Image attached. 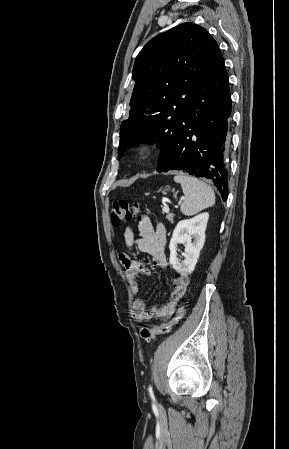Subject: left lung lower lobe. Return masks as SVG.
I'll return each mask as SVG.
<instances>
[{
  "label": "left lung lower lobe",
  "mask_w": 289,
  "mask_h": 449,
  "mask_svg": "<svg viewBox=\"0 0 289 449\" xmlns=\"http://www.w3.org/2000/svg\"><path fill=\"white\" fill-rule=\"evenodd\" d=\"M230 114L228 74L218 51L204 71L189 108L176 125L167 155L158 162L157 170H182L195 177L210 179L226 201L228 171L225 158Z\"/></svg>",
  "instance_id": "1"
}]
</instances>
